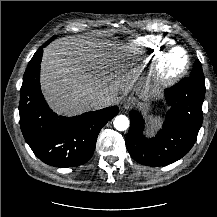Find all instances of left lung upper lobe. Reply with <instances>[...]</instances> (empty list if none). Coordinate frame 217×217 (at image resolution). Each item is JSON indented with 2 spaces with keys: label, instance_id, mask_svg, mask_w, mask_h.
Listing matches in <instances>:
<instances>
[{
  "label": "left lung upper lobe",
  "instance_id": "obj_1",
  "mask_svg": "<svg viewBox=\"0 0 217 217\" xmlns=\"http://www.w3.org/2000/svg\"><path fill=\"white\" fill-rule=\"evenodd\" d=\"M190 77L194 79L199 85L205 86V78L202 71V66L199 60H196L193 69L190 73Z\"/></svg>",
  "mask_w": 217,
  "mask_h": 217
}]
</instances>
